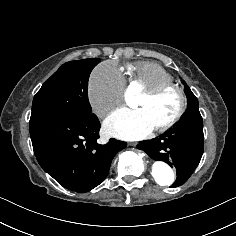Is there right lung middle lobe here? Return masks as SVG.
<instances>
[{"instance_id": "obj_1", "label": "right lung middle lobe", "mask_w": 236, "mask_h": 236, "mask_svg": "<svg viewBox=\"0 0 236 236\" xmlns=\"http://www.w3.org/2000/svg\"><path fill=\"white\" fill-rule=\"evenodd\" d=\"M97 58L63 64L33 98L30 124L59 115H89L88 80Z\"/></svg>"}]
</instances>
